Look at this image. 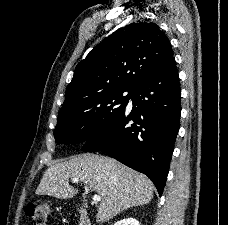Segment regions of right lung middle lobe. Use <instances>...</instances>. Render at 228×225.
<instances>
[{"mask_svg":"<svg viewBox=\"0 0 228 225\" xmlns=\"http://www.w3.org/2000/svg\"><path fill=\"white\" fill-rule=\"evenodd\" d=\"M132 92L130 88L113 86L63 105L54 132L56 142H85L118 115Z\"/></svg>","mask_w":228,"mask_h":225,"instance_id":"1","label":"right lung middle lobe"}]
</instances>
